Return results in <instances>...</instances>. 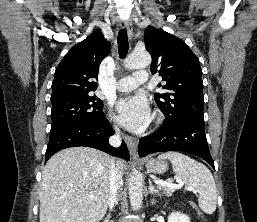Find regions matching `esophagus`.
I'll return each instance as SVG.
<instances>
[{
    "label": "esophagus",
    "mask_w": 257,
    "mask_h": 222,
    "mask_svg": "<svg viewBox=\"0 0 257 222\" xmlns=\"http://www.w3.org/2000/svg\"><path fill=\"white\" fill-rule=\"evenodd\" d=\"M120 27L121 28H126L129 35H132V25L129 21L127 20H122L120 21ZM124 140L131 152V154L136 157L137 155V139L135 137L129 136V135H125L124 136Z\"/></svg>",
    "instance_id": "obj_1"
}]
</instances>
